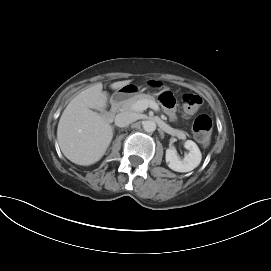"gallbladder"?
<instances>
[{"label":"gallbladder","instance_id":"1","mask_svg":"<svg viewBox=\"0 0 271 271\" xmlns=\"http://www.w3.org/2000/svg\"><path fill=\"white\" fill-rule=\"evenodd\" d=\"M98 113L101 115V116H104L106 114V111L104 110H98Z\"/></svg>","mask_w":271,"mask_h":271}]
</instances>
